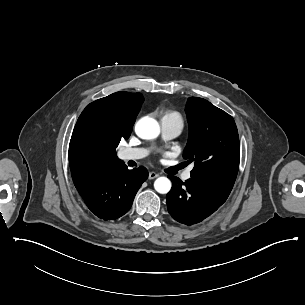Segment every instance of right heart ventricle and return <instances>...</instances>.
Here are the masks:
<instances>
[{"label":"right heart ventricle","mask_w":305,"mask_h":305,"mask_svg":"<svg viewBox=\"0 0 305 305\" xmlns=\"http://www.w3.org/2000/svg\"><path fill=\"white\" fill-rule=\"evenodd\" d=\"M163 117H172V118L181 119V116L177 112H174V111L165 113Z\"/></svg>","instance_id":"obj_1"}]
</instances>
